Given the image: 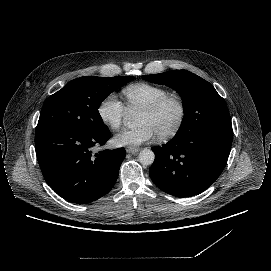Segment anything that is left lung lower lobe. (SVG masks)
I'll return each mask as SVG.
<instances>
[{"label": "left lung lower lobe", "mask_w": 271, "mask_h": 271, "mask_svg": "<svg viewBox=\"0 0 271 271\" xmlns=\"http://www.w3.org/2000/svg\"><path fill=\"white\" fill-rule=\"evenodd\" d=\"M232 139V125L208 124L177 133L166 145L152 147L155 160L150 178L176 197L200 194L222 173Z\"/></svg>", "instance_id": "obj_1"}]
</instances>
